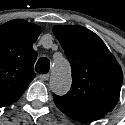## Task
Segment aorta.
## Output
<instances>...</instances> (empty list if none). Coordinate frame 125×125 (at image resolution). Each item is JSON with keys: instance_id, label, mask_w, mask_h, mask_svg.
I'll list each match as a JSON object with an SVG mask.
<instances>
[{"instance_id": "762f6f07", "label": "aorta", "mask_w": 125, "mask_h": 125, "mask_svg": "<svg viewBox=\"0 0 125 125\" xmlns=\"http://www.w3.org/2000/svg\"><path fill=\"white\" fill-rule=\"evenodd\" d=\"M71 86V68L64 58L54 61L50 88L56 94H65Z\"/></svg>"}]
</instances>
